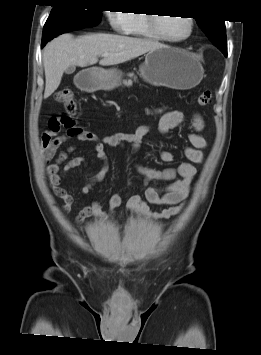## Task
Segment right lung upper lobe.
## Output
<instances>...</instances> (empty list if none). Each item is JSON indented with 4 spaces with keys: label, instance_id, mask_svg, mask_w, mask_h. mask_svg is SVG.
Instances as JSON below:
<instances>
[{
    "label": "right lung upper lobe",
    "instance_id": "obj_1",
    "mask_svg": "<svg viewBox=\"0 0 261 355\" xmlns=\"http://www.w3.org/2000/svg\"><path fill=\"white\" fill-rule=\"evenodd\" d=\"M54 3H58V2H62V1H66V0H52Z\"/></svg>",
    "mask_w": 261,
    "mask_h": 355
}]
</instances>
